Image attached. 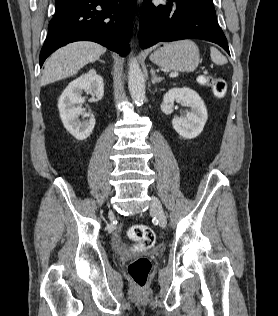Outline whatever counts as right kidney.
Masks as SVG:
<instances>
[{
  "mask_svg": "<svg viewBox=\"0 0 278 316\" xmlns=\"http://www.w3.org/2000/svg\"><path fill=\"white\" fill-rule=\"evenodd\" d=\"M83 91L95 96L97 100L104 95L103 78L94 69L85 73L68 84L58 100L60 117L66 130L78 140H84L90 136L95 126L93 115L84 112L81 107L85 98ZM90 117L81 122L78 117Z\"/></svg>",
  "mask_w": 278,
  "mask_h": 316,
  "instance_id": "right-kidney-1",
  "label": "right kidney"
}]
</instances>
